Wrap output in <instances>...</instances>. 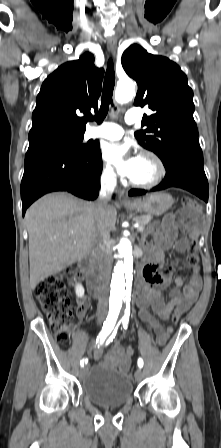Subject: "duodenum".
<instances>
[{
    "label": "duodenum",
    "mask_w": 221,
    "mask_h": 448,
    "mask_svg": "<svg viewBox=\"0 0 221 448\" xmlns=\"http://www.w3.org/2000/svg\"><path fill=\"white\" fill-rule=\"evenodd\" d=\"M80 271L87 280V288L90 294L97 295L100 292V278L93 264L91 253H87L80 260Z\"/></svg>",
    "instance_id": "410a0bca"
}]
</instances>
